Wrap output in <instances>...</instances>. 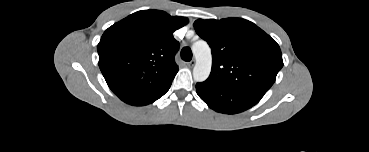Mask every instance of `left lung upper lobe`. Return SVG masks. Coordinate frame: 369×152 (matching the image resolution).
Here are the masks:
<instances>
[{"label":"left lung upper lobe","mask_w":369,"mask_h":152,"mask_svg":"<svg viewBox=\"0 0 369 152\" xmlns=\"http://www.w3.org/2000/svg\"><path fill=\"white\" fill-rule=\"evenodd\" d=\"M194 27L212 50V70L206 81L262 98L283 66L276 41L241 18L199 19Z\"/></svg>","instance_id":"left-lung-upper-lobe-1"}]
</instances>
